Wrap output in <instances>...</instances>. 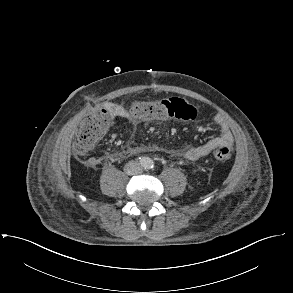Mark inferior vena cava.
Returning a JSON list of instances; mask_svg holds the SVG:
<instances>
[{"label":"inferior vena cava","mask_w":293,"mask_h":293,"mask_svg":"<svg viewBox=\"0 0 293 293\" xmlns=\"http://www.w3.org/2000/svg\"><path fill=\"white\" fill-rule=\"evenodd\" d=\"M126 173L129 175H134L140 173V165L136 162H129L125 166Z\"/></svg>","instance_id":"1"}]
</instances>
